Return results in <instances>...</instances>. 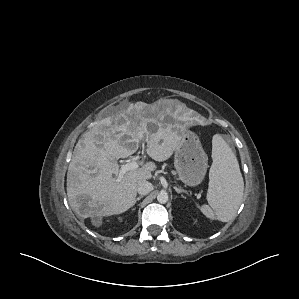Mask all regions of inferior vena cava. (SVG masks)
<instances>
[{"instance_id":"602c4592","label":"inferior vena cava","mask_w":299,"mask_h":299,"mask_svg":"<svg viewBox=\"0 0 299 299\" xmlns=\"http://www.w3.org/2000/svg\"><path fill=\"white\" fill-rule=\"evenodd\" d=\"M154 189L152 183L147 180H140L137 182V191L141 195H146Z\"/></svg>"}]
</instances>
